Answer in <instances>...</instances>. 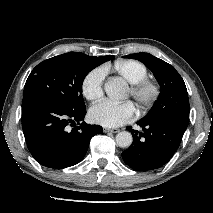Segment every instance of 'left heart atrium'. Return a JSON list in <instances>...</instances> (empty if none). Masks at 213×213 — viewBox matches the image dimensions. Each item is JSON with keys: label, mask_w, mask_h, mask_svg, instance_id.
I'll return each mask as SVG.
<instances>
[{"label": "left heart atrium", "mask_w": 213, "mask_h": 213, "mask_svg": "<svg viewBox=\"0 0 213 213\" xmlns=\"http://www.w3.org/2000/svg\"><path fill=\"white\" fill-rule=\"evenodd\" d=\"M136 111L132 102L113 103L103 101L89 111L90 120L104 127H118L132 121Z\"/></svg>", "instance_id": "obj_1"}]
</instances>
